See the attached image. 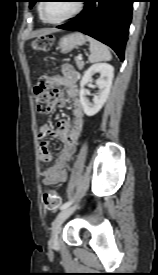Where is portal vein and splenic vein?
Listing matches in <instances>:
<instances>
[{
  "instance_id": "1",
  "label": "portal vein and splenic vein",
  "mask_w": 158,
  "mask_h": 275,
  "mask_svg": "<svg viewBox=\"0 0 158 275\" xmlns=\"http://www.w3.org/2000/svg\"><path fill=\"white\" fill-rule=\"evenodd\" d=\"M77 59H78V60H82V56H81V55H78V56H77Z\"/></svg>"
}]
</instances>
